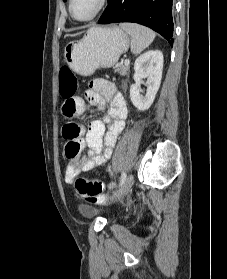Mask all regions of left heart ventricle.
Segmentation results:
<instances>
[{
  "instance_id": "left-heart-ventricle-1",
  "label": "left heart ventricle",
  "mask_w": 227,
  "mask_h": 279,
  "mask_svg": "<svg viewBox=\"0 0 227 279\" xmlns=\"http://www.w3.org/2000/svg\"><path fill=\"white\" fill-rule=\"evenodd\" d=\"M98 5V0H73L72 10L77 18H86L91 15Z\"/></svg>"
}]
</instances>
